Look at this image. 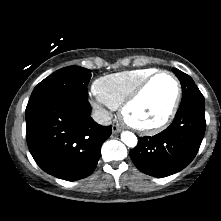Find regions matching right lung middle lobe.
<instances>
[{"instance_id":"1","label":"right lung middle lobe","mask_w":221,"mask_h":221,"mask_svg":"<svg viewBox=\"0 0 221 221\" xmlns=\"http://www.w3.org/2000/svg\"><path fill=\"white\" fill-rule=\"evenodd\" d=\"M90 78V70L80 66L59 69L34 88L27 107L58 98L87 99Z\"/></svg>"}]
</instances>
